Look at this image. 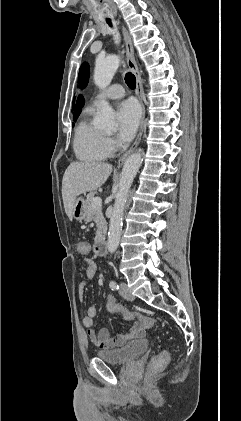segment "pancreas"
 Returning <instances> with one entry per match:
<instances>
[{
    "mask_svg": "<svg viewBox=\"0 0 241 421\" xmlns=\"http://www.w3.org/2000/svg\"><path fill=\"white\" fill-rule=\"evenodd\" d=\"M94 192H90L86 196L85 204H86V220L87 221H94L96 223V236H100L106 230L107 223L102 213L101 207H93L92 200L94 198Z\"/></svg>",
    "mask_w": 241,
    "mask_h": 421,
    "instance_id": "cf45deb5",
    "label": "pancreas"
}]
</instances>
